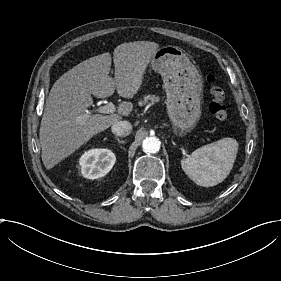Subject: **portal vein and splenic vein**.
<instances>
[{
  "label": "portal vein and splenic vein",
  "instance_id": "portal-vein-and-splenic-vein-1",
  "mask_svg": "<svg viewBox=\"0 0 281 281\" xmlns=\"http://www.w3.org/2000/svg\"><path fill=\"white\" fill-rule=\"evenodd\" d=\"M95 111L98 113L110 114L114 113L116 108L112 102H108L106 105L98 107Z\"/></svg>",
  "mask_w": 281,
  "mask_h": 281
}]
</instances>
